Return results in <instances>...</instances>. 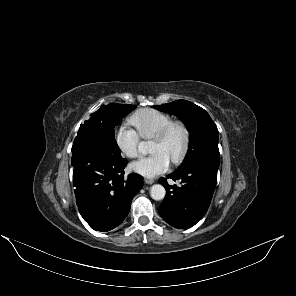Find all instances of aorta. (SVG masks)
Here are the masks:
<instances>
[{
    "mask_svg": "<svg viewBox=\"0 0 296 296\" xmlns=\"http://www.w3.org/2000/svg\"><path fill=\"white\" fill-rule=\"evenodd\" d=\"M145 143L141 142L139 148L142 150L145 148ZM166 191L165 188L160 184H155L150 189V196L154 200H162L165 197Z\"/></svg>",
    "mask_w": 296,
    "mask_h": 296,
    "instance_id": "1",
    "label": "aorta"
}]
</instances>
